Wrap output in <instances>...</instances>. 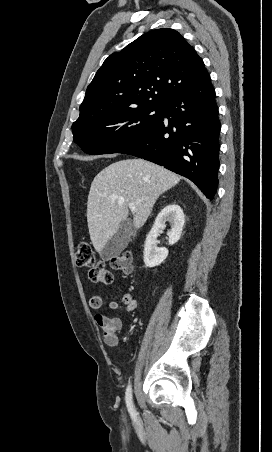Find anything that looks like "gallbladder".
Returning <instances> with one entry per match:
<instances>
[{
	"mask_svg": "<svg viewBox=\"0 0 272 452\" xmlns=\"http://www.w3.org/2000/svg\"><path fill=\"white\" fill-rule=\"evenodd\" d=\"M134 226L131 219L125 220L101 251L103 260L108 261L118 256L128 245Z\"/></svg>",
	"mask_w": 272,
	"mask_h": 452,
	"instance_id": "bac80fb5",
	"label": "gallbladder"
}]
</instances>
